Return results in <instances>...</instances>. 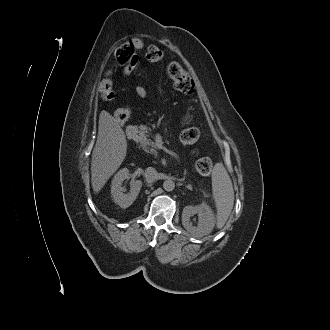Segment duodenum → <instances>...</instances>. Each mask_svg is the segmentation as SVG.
Instances as JSON below:
<instances>
[{
    "mask_svg": "<svg viewBox=\"0 0 330 330\" xmlns=\"http://www.w3.org/2000/svg\"><path fill=\"white\" fill-rule=\"evenodd\" d=\"M135 134H136L135 127L130 126L126 129V136L128 139L132 140L134 138Z\"/></svg>",
    "mask_w": 330,
    "mask_h": 330,
    "instance_id": "obj_1",
    "label": "duodenum"
}]
</instances>
